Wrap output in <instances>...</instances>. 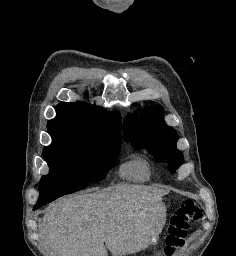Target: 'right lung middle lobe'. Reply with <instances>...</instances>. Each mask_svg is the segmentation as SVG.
<instances>
[{
    "label": "right lung middle lobe",
    "mask_w": 236,
    "mask_h": 256,
    "mask_svg": "<svg viewBox=\"0 0 236 256\" xmlns=\"http://www.w3.org/2000/svg\"><path fill=\"white\" fill-rule=\"evenodd\" d=\"M49 133L52 144L44 148L43 156L50 173L41 178L38 202L53 201L102 180L121 148V142L64 131Z\"/></svg>",
    "instance_id": "dd1d6c3e"
}]
</instances>
